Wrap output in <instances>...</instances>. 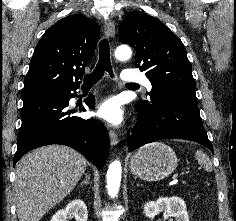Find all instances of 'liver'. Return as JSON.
Returning a JSON list of instances; mask_svg holds the SVG:
<instances>
[{
    "label": "liver",
    "mask_w": 236,
    "mask_h": 221,
    "mask_svg": "<svg viewBox=\"0 0 236 221\" xmlns=\"http://www.w3.org/2000/svg\"><path fill=\"white\" fill-rule=\"evenodd\" d=\"M86 166L80 153L59 145L38 148L21 158L14 185L19 221H39L73 190Z\"/></svg>",
    "instance_id": "obj_1"
}]
</instances>
